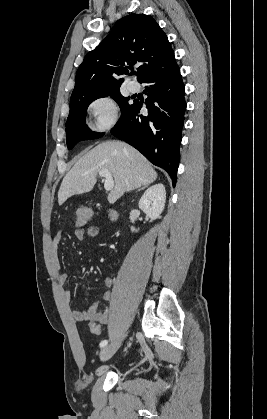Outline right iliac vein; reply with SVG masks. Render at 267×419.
<instances>
[{
	"instance_id": "right-iliac-vein-1",
	"label": "right iliac vein",
	"mask_w": 267,
	"mask_h": 419,
	"mask_svg": "<svg viewBox=\"0 0 267 419\" xmlns=\"http://www.w3.org/2000/svg\"><path fill=\"white\" fill-rule=\"evenodd\" d=\"M121 343H122L121 341H118L104 347L100 352V359L102 361H106L109 358H111L115 354V352L118 350V348L121 346Z\"/></svg>"
}]
</instances>
